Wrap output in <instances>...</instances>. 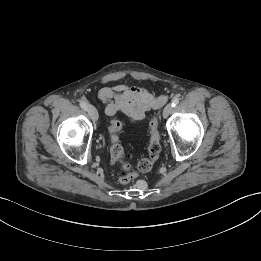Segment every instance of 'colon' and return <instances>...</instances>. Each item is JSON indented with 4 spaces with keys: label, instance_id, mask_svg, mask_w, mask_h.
Listing matches in <instances>:
<instances>
[{
    "label": "colon",
    "instance_id": "1",
    "mask_svg": "<svg viewBox=\"0 0 261 261\" xmlns=\"http://www.w3.org/2000/svg\"><path fill=\"white\" fill-rule=\"evenodd\" d=\"M121 130V124L117 120H113L109 126L111 137L110 159L112 164H118L122 170L119 181L126 184L137 176L138 172H147L152 169L154 163L158 160L161 145L158 132V122L156 118L150 122V142L148 146V158L140 159L136 166L131 163L129 156L119 143L118 133Z\"/></svg>",
    "mask_w": 261,
    "mask_h": 261
}]
</instances>
